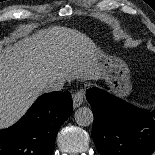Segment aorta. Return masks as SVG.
Masks as SVG:
<instances>
[{
    "label": "aorta",
    "mask_w": 155,
    "mask_h": 155,
    "mask_svg": "<svg viewBox=\"0 0 155 155\" xmlns=\"http://www.w3.org/2000/svg\"><path fill=\"white\" fill-rule=\"evenodd\" d=\"M94 116L88 107H80L75 112V121L80 126H89L93 123Z\"/></svg>",
    "instance_id": "obj_1"
}]
</instances>
